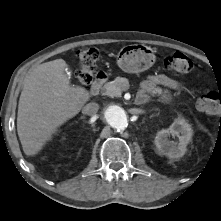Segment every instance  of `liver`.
Returning <instances> with one entry per match:
<instances>
[{
	"label": "liver",
	"mask_w": 221,
	"mask_h": 221,
	"mask_svg": "<svg viewBox=\"0 0 221 221\" xmlns=\"http://www.w3.org/2000/svg\"><path fill=\"white\" fill-rule=\"evenodd\" d=\"M67 63L56 59L32 69L25 79L17 113V132L23 151L37 154L57 128L76 116L90 99L83 87L71 86Z\"/></svg>",
	"instance_id": "liver-1"
}]
</instances>
